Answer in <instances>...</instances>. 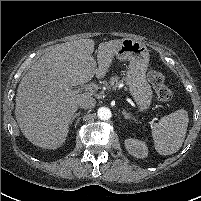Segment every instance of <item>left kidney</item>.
I'll use <instances>...</instances> for the list:
<instances>
[{
    "instance_id": "1",
    "label": "left kidney",
    "mask_w": 201,
    "mask_h": 201,
    "mask_svg": "<svg viewBox=\"0 0 201 201\" xmlns=\"http://www.w3.org/2000/svg\"><path fill=\"white\" fill-rule=\"evenodd\" d=\"M125 146L129 154L137 158H145L148 154L147 146L144 142L136 139H126Z\"/></svg>"
}]
</instances>
